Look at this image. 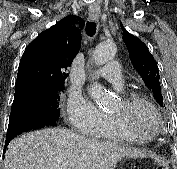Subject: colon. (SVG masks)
Wrapping results in <instances>:
<instances>
[{"mask_svg": "<svg viewBox=\"0 0 177 169\" xmlns=\"http://www.w3.org/2000/svg\"><path fill=\"white\" fill-rule=\"evenodd\" d=\"M155 169H165L164 167H157V168H155Z\"/></svg>", "mask_w": 177, "mask_h": 169, "instance_id": "5ec220e1", "label": "colon"}]
</instances>
